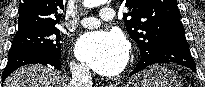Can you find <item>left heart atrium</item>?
I'll use <instances>...</instances> for the list:
<instances>
[{
    "instance_id": "39dd6f15",
    "label": "left heart atrium",
    "mask_w": 205,
    "mask_h": 87,
    "mask_svg": "<svg viewBox=\"0 0 205 87\" xmlns=\"http://www.w3.org/2000/svg\"><path fill=\"white\" fill-rule=\"evenodd\" d=\"M76 55L96 72L114 76L122 71L129 47L117 31H93L83 34L76 43Z\"/></svg>"
}]
</instances>
